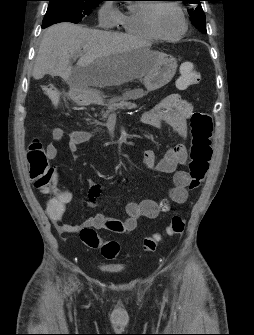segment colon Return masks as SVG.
I'll list each match as a JSON object with an SVG mask.
<instances>
[{
  "label": "colon",
  "instance_id": "colon-1",
  "mask_svg": "<svg viewBox=\"0 0 254 335\" xmlns=\"http://www.w3.org/2000/svg\"><path fill=\"white\" fill-rule=\"evenodd\" d=\"M180 76L177 86L181 89L195 85L199 81V73L191 62H183L179 67ZM43 92L53 106L60 105L61 99L58 89L52 84L43 86ZM190 162L189 181L190 189L197 188L204 179L212 157L213 121L206 112L196 111L190 117ZM29 177L36 178V185L41 186L43 192H48L57 185V173L50 166L43 145L39 141H33L28 147ZM52 210L59 208L58 203H50ZM185 219L181 215L172 216L170 223L163 233H157L146 237L142 243L145 252L153 253L157 250L165 236H177L183 233ZM84 245L92 249H99L101 255L107 260H114L120 255V246L116 241H104L92 227H85L79 233Z\"/></svg>",
  "mask_w": 254,
  "mask_h": 335
}]
</instances>
